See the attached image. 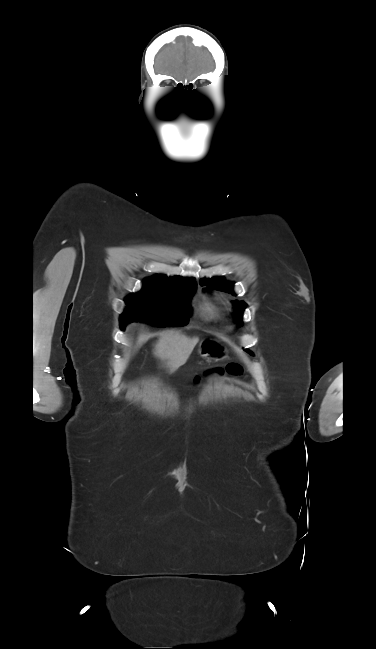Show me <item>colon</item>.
Segmentation results:
<instances>
[{"instance_id": "1", "label": "colon", "mask_w": 376, "mask_h": 649, "mask_svg": "<svg viewBox=\"0 0 376 649\" xmlns=\"http://www.w3.org/2000/svg\"><path fill=\"white\" fill-rule=\"evenodd\" d=\"M225 371L231 375L240 376L242 374V367L237 363H230L226 366ZM223 372V369H214L208 370L205 374H221ZM198 380L199 377H197L196 381Z\"/></svg>"}]
</instances>
